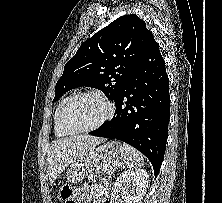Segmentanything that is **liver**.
<instances>
[{"label": "liver", "instance_id": "6515ba94", "mask_svg": "<svg viewBox=\"0 0 222 203\" xmlns=\"http://www.w3.org/2000/svg\"><path fill=\"white\" fill-rule=\"evenodd\" d=\"M102 142L103 139L89 135H77L53 141L47 159L50 183L53 184L73 161L80 159L87 150Z\"/></svg>", "mask_w": 222, "mask_h": 203}]
</instances>
